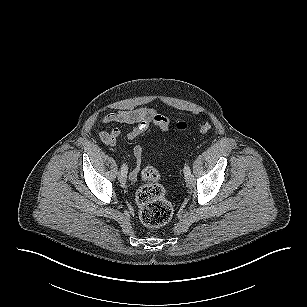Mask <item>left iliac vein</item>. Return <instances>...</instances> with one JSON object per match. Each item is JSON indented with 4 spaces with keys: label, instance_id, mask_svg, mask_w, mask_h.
I'll return each mask as SVG.
<instances>
[{
    "label": "left iliac vein",
    "instance_id": "4c4485c4",
    "mask_svg": "<svg viewBox=\"0 0 307 307\" xmlns=\"http://www.w3.org/2000/svg\"><path fill=\"white\" fill-rule=\"evenodd\" d=\"M185 181L189 187H192L194 185V176L191 170L188 174L185 175Z\"/></svg>",
    "mask_w": 307,
    "mask_h": 307
}]
</instances>
